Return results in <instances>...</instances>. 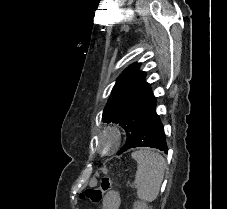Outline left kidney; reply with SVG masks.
<instances>
[{"label": "left kidney", "instance_id": "obj_1", "mask_svg": "<svg viewBox=\"0 0 227 209\" xmlns=\"http://www.w3.org/2000/svg\"><path fill=\"white\" fill-rule=\"evenodd\" d=\"M133 207L134 209H151V207H148L144 201H135Z\"/></svg>", "mask_w": 227, "mask_h": 209}]
</instances>
